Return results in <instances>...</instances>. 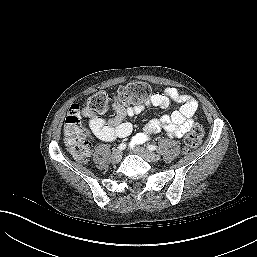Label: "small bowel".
I'll return each instance as SVG.
<instances>
[{
    "instance_id": "1",
    "label": "small bowel",
    "mask_w": 257,
    "mask_h": 257,
    "mask_svg": "<svg viewBox=\"0 0 257 257\" xmlns=\"http://www.w3.org/2000/svg\"><path fill=\"white\" fill-rule=\"evenodd\" d=\"M170 103L177 104L179 108L170 114H164L149 121L144 132L133 137L130 145L134 146L145 142L152 134L164 133L170 137H182L195 123L194 114L198 108L197 101L174 87H168L163 92L153 94L149 101L141 105L124 106L115 103V114L111 118H103L89 110H84L83 116L87 119L89 128L96 138L113 141L131 134L132 125L125 121L127 116L136 115L151 105L166 108Z\"/></svg>"
}]
</instances>
